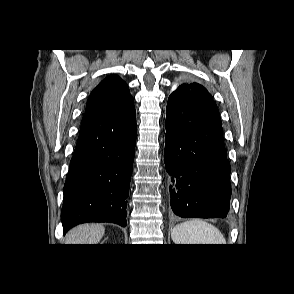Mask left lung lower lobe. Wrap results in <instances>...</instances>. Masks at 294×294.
<instances>
[{"label": "left lung lower lobe", "mask_w": 294, "mask_h": 294, "mask_svg": "<svg viewBox=\"0 0 294 294\" xmlns=\"http://www.w3.org/2000/svg\"><path fill=\"white\" fill-rule=\"evenodd\" d=\"M165 167L172 211L183 218H224L231 197L221 118L215 103L169 96Z\"/></svg>", "instance_id": "obj_1"}]
</instances>
